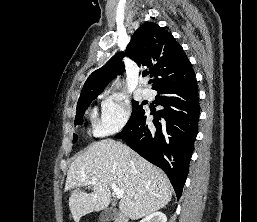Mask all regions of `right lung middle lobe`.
Instances as JSON below:
<instances>
[{
  "mask_svg": "<svg viewBox=\"0 0 257 222\" xmlns=\"http://www.w3.org/2000/svg\"><path fill=\"white\" fill-rule=\"evenodd\" d=\"M95 97L86 98L85 100H83L82 102H80L77 105V113H76V117H75V125L82 123L84 112L88 108L89 104L92 102V100ZM132 106H133L132 115H131L128 123L124 127V129H126L131 124H133L134 121L136 120V118L144 111L143 108H142V104H140L139 102L132 101ZM77 139H78V136L76 134H74V136H73V143H75L77 141Z\"/></svg>",
  "mask_w": 257,
  "mask_h": 222,
  "instance_id": "dd1d6c3e",
  "label": "right lung middle lobe"
}]
</instances>
